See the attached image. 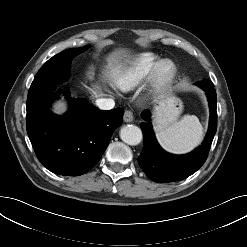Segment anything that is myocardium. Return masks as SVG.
Segmentation results:
<instances>
[{
    "label": "myocardium",
    "instance_id": "f54148a6",
    "mask_svg": "<svg viewBox=\"0 0 247 247\" xmlns=\"http://www.w3.org/2000/svg\"><path fill=\"white\" fill-rule=\"evenodd\" d=\"M177 66L170 59L159 61L152 69L148 79V90L157 93L168 86L176 77Z\"/></svg>",
    "mask_w": 247,
    "mask_h": 247
}]
</instances>
